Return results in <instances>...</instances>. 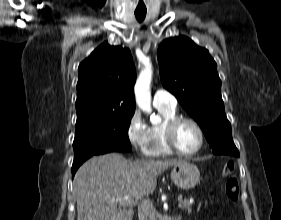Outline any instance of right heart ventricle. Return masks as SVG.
<instances>
[{"label": "right heart ventricle", "instance_id": "e07e8e85", "mask_svg": "<svg viewBox=\"0 0 281 220\" xmlns=\"http://www.w3.org/2000/svg\"><path fill=\"white\" fill-rule=\"evenodd\" d=\"M157 109L162 115L163 121L160 124L149 127L148 144L144 153L150 157H164L173 154L166 145L164 127L168 120L177 116L176 109H169L165 107H157Z\"/></svg>", "mask_w": 281, "mask_h": 220}]
</instances>
